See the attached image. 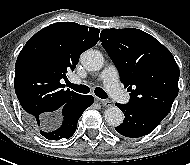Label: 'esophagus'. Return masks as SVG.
<instances>
[{
  "label": "esophagus",
  "mask_w": 190,
  "mask_h": 165,
  "mask_svg": "<svg viewBox=\"0 0 190 165\" xmlns=\"http://www.w3.org/2000/svg\"><path fill=\"white\" fill-rule=\"evenodd\" d=\"M97 100L104 107H110L113 105L112 101H110V100H105V99H97Z\"/></svg>",
  "instance_id": "obj_1"
}]
</instances>
